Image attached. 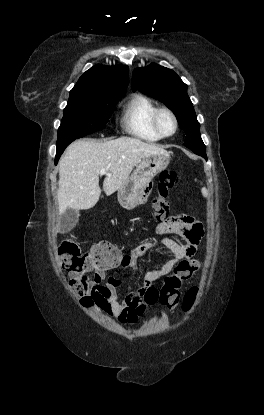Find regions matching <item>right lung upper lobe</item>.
<instances>
[{
	"instance_id": "1",
	"label": "right lung upper lobe",
	"mask_w": 264,
	"mask_h": 415,
	"mask_svg": "<svg viewBox=\"0 0 264 415\" xmlns=\"http://www.w3.org/2000/svg\"><path fill=\"white\" fill-rule=\"evenodd\" d=\"M127 66L95 65L87 70L70 91V97L123 95L129 83Z\"/></svg>"
}]
</instances>
